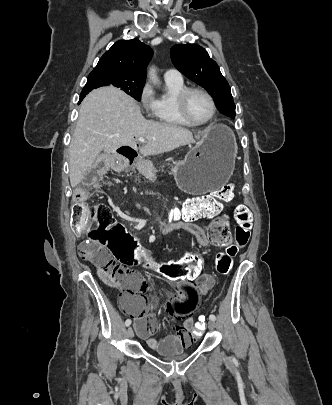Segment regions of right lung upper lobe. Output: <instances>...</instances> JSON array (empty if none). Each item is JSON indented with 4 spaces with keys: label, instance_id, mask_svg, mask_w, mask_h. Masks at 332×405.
Returning a JSON list of instances; mask_svg holds the SVG:
<instances>
[{
    "label": "right lung upper lobe",
    "instance_id": "1",
    "mask_svg": "<svg viewBox=\"0 0 332 405\" xmlns=\"http://www.w3.org/2000/svg\"><path fill=\"white\" fill-rule=\"evenodd\" d=\"M152 55V49L138 39L119 40L104 53L92 72H117L145 80Z\"/></svg>",
    "mask_w": 332,
    "mask_h": 405
}]
</instances>
